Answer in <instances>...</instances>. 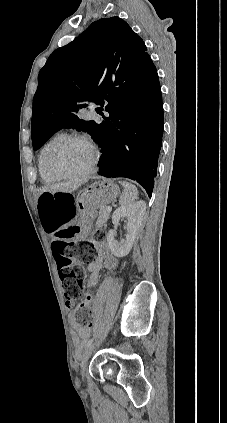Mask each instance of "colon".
Listing matches in <instances>:
<instances>
[{
	"label": "colon",
	"instance_id": "5ec220e1",
	"mask_svg": "<svg viewBox=\"0 0 227 423\" xmlns=\"http://www.w3.org/2000/svg\"><path fill=\"white\" fill-rule=\"evenodd\" d=\"M38 209L45 231L56 232L62 229L52 244L53 256L63 283L64 296L67 301H75L81 297L86 279L82 264L95 260L94 249L88 241H70L75 233L71 225L75 214L71 195L65 192H44L39 198ZM96 236L101 238L103 232L97 231ZM74 259L79 263H74ZM90 298L88 296L75 310V320L81 325H91Z\"/></svg>",
	"mask_w": 227,
	"mask_h": 423
}]
</instances>
